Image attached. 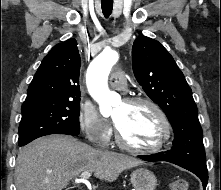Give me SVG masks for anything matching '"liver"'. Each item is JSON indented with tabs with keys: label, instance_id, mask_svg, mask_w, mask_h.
<instances>
[{
	"label": "liver",
	"instance_id": "6515ba94",
	"mask_svg": "<svg viewBox=\"0 0 221 190\" xmlns=\"http://www.w3.org/2000/svg\"><path fill=\"white\" fill-rule=\"evenodd\" d=\"M141 163L135 157L94 149L72 137L47 136L20 149L15 185L17 190H63L83 172L113 182L122 171Z\"/></svg>",
	"mask_w": 221,
	"mask_h": 190
}]
</instances>
